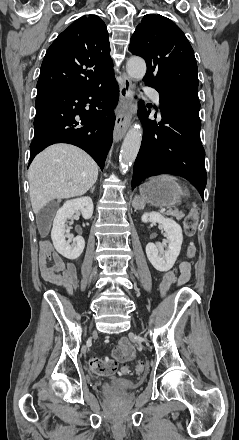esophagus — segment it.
Here are the masks:
<instances>
[{"label": "esophagus", "mask_w": 239, "mask_h": 440, "mask_svg": "<svg viewBox=\"0 0 239 440\" xmlns=\"http://www.w3.org/2000/svg\"><path fill=\"white\" fill-rule=\"evenodd\" d=\"M123 85L120 87V97L125 102L132 100L131 91L134 88L130 78L124 73L122 76ZM132 111L124 110L118 113L115 120V127L113 131L114 141L118 142L126 134L132 119Z\"/></svg>", "instance_id": "34e87169"}]
</instances>
